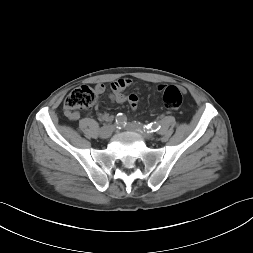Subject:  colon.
I'll use <instances>...</instances> for the list:
<instances>
[{"mask_svg": "<svg viewBox=\"0 0 253 253\" xmlns=\"http://www.w3.org/2000/svg\"><path fill=\"white\" fill-rule=\"evenodd\" d=\"M162 101L168 111L179 109L183 102L181 91L175 86L163 88ZM97 100L96 91L89 86H81L73 90L65 99L64 107L68 111L92 107Z\"/></svg>", "mask_w": 253, "mask_h": 253, "instance_id": "1", "label": "colon"}]
</instances>
